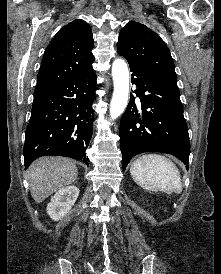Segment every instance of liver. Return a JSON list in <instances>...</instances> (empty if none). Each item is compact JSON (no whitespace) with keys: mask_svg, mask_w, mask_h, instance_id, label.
Returning <instances> with one entry per match:
<instances>
[{"mask_svg":"<svg viewBox=\"0 0 221 274\" xmlns=\"http://www.w3.org/2000/svg\"><path fill=\"white\" fill-rule=\"evenodd\" d=\"M77 175L75 163L68 158H39L27 171L31 196L36 203H41L54 192L72 184Z\"/></svg>","mask_w":221,"mask_h":274,"instance_id":"6515ba94","label":"liver"}]
</instances>
